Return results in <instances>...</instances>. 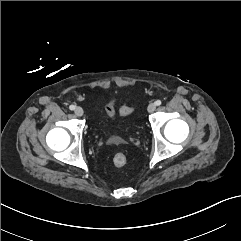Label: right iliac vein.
I'll use <instances>...</instances> for the list:
<instances>
[{"instance_id":"obj_1","label":"right iliac vein","mask_w":241,"mask_h":241,"mask_svg":"<svg viewBox=\"0 0 241 241\" xmlns=\"http://www.w3.org/2000/svg\"><path fill=\"white\" fill-rule=\"evenodd\" d=\"M75 114L78 116V117H81L84 113L83 109L80 107V106H77L74 110Z\"/></svg>"}]
</instances>
